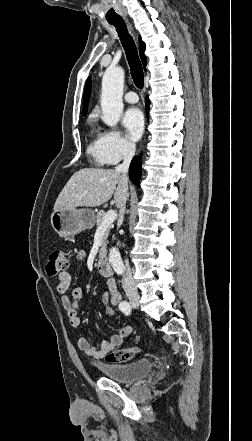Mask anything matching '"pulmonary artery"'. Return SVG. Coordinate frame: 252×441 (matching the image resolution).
I'll return each mask as SVG.
<instances>
[{
  "mask_svg": "<svg viewBox=\"0 0 252 441\" xmlns=\"http://www.w3.org/2000/svg\"><path fill=\"white\" fill-rule=\"evenodd\" d=\"M124 100H125L127 103L134 104V103H137V102H138V96H137V94H136L135 92L130 91V92H128V93H126V94L124 95Z\"/></svg>",
  "mask_w": 252,
  "mask_h": 441,
  "instance_id": "obj_1",
  "label": "pulmonary artery"
}]
</instances>
